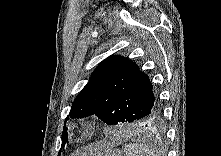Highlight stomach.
Listing matches in <instances>:
<instances>
[{"label":"stomach","instance_id":"1","mask_svg":"<svg viewBox=\"0 0 221 156\" xmlns=\"http://www.w3.org/2000/svg\"><path fill=\"white\" fill-rule=\"evenodd\" d=\"M95 156H124L122 151L114 148H104L97 151Z\"/></svg>","mask_w":221,"mask_h":156}]
</instances>
